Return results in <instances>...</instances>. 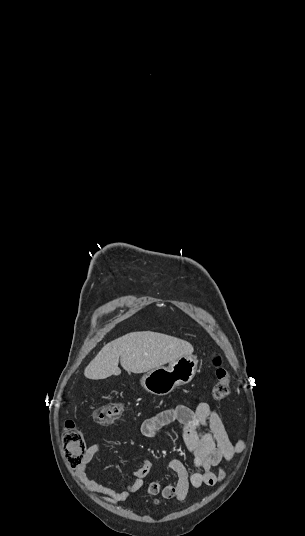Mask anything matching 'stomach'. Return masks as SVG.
I'll return each mask as SVG.
<instances>
[{"mask_svg":"<svg viewBox=\"0 0 305 536\" xmlns=\"http://www.w3.org/2000/svg\"><path fill=\"white\" fill-rule=\"evenodd\" d=\"M198 366L197 356H181L170 362L168 368H155L142 376L140 382L144 390L155 396H166L177 386L189 384L193 380Z\"/></svg>","mask_w":305,"mask_h":536,"instance_id":"stomach-1","label":"stomach"}]
</instances>
